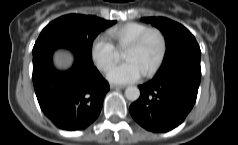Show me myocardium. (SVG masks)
Listing matches in <instances>:
<instances>
[{
	"mask_svg": "<svg viewBox=\"0 0 238 145\" xmlns=\"http://www.w3.org/2000/svg\"><path fill=\"white\" fill-rule=\"evenodd\" d=\"M156 35L158 36L160 40V51L158 54V57L154 61V63L151 65V67L144 73L145 76H151L154 74L158 68L161 66L166 52H167V39L163 31H161L158 28H149L145 32H143L141 35H139L135 40H133L126 49H138L143 45V43L148 39L149 36Z\"/></svg>",
	"mask_w": 238,
	"mask_h": 145,
	"instance_id": "obj_1",
	"label": "myocardium"
}]
</instances>
